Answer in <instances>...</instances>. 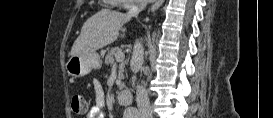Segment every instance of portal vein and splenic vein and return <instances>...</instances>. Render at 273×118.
Wrapping results in <instances>:
<instances>
[{
	"label": "portal vein and splenic vein",
	"mask_w": 273,
	"mask_h": 118,
	"mask_svg": "<svg viewBox=\"0 0 273 118\" xmlns=\"http://www.w3.org/2000/svg\"><path fill=\"white\" fill-rule=\"evenodd\" d=\"M124 58H125V55H124V53L122 51L117 52L116 55H115V59H116L117 62L123 61Z\"/></svg>",
	"instance_id": "portal-vein-and-splenic-vein-1"
}]
</instances>
